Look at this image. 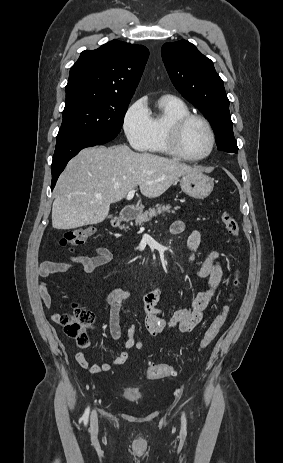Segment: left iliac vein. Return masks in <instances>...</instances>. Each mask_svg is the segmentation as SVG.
<instances>
[{
  "instance_id": "obj_1",
  "label": "left iliac vein",
  "mask_w": 283,
  "mask_h": 463,
  "mask_svg": "<svg viewBox=\"0 0 283 463\" xmlns=\"http://www.w3.org/2000/svg\"><path fill=\"white\" fill-rule=\"evenodd\" d=\"M182 420H183V424H185V418H184V416H183Z\"/></svg>"
}]
</instances>
